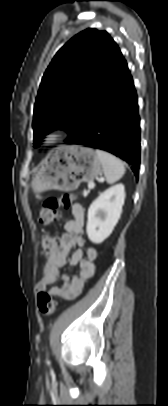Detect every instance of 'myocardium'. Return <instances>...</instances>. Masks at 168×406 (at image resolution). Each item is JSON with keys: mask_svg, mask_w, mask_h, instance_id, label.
I'll use <instances>...</instances> for the list:
<instances>
[{"mask_svg": "<svg viewBox=\"0 0 168 406\" xmlns=\"http://www.w3.org/2000/svg\"><path fill=\"white\" fill-rule=\"evenodd\" d=\"M60 138L61 133L54 130L46 134V136L44 137V141L48 146H53L60 140Z\"/></svg>", "mask_w": 168, "mask_h": 406, "instance_id": "1", "label": "myocardium"}]
</instances>
